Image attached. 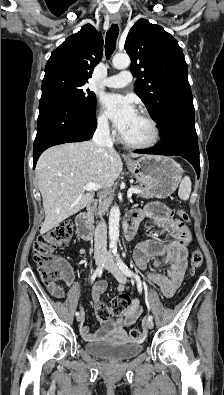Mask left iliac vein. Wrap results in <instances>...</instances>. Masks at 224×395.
Masks as SVG:
<instances>
[{"label":"left iliac vein","mask_w":224,"mask_h":395,"mask_svg":"<svg viewBox=\"0 0 224 395\" xmlns=\"http://www.w3.org/2000/svg\"><path fill=\"white\" fill-rule=\"evenodd\" d=\"M104 266L105 268L111 272L114 277L117 279V281L121 284L126 283V277L124 273L119 269L118 265L115 263V261L111 258L110 255H107L104 260ZM144 326L148 329H152L154 326V323L151 319H146L144 321Z\"/></svg>","instance_id":"1"}]
</instances>
